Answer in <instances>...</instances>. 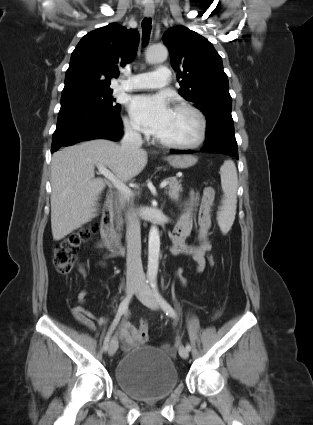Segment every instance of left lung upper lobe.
Listing matches in <instances>:
<instances>
[{
    "label": "left lung upper lobe",
    "mask_w": 313,
    "mask_h": 425,
    "mask_svg": "<svg viewBox=\"0 0 313 425\" xmlns=\"http://www.w3.org/2000/svg\"><path fill=\"white\" fill-rule=\"evenodd\" d=\"M163 40L169 49L171 65L178 72L179 93L194 103L208 121L233 120L228 77L213 45L184 26L168 29Z\"/></svg>",
    "instance_id": "obj_1"
}]
</instances>
